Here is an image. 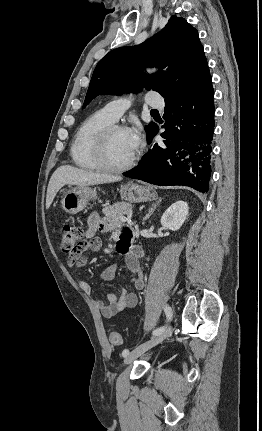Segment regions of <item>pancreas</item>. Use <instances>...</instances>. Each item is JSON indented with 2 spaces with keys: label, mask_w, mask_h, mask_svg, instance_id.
Segmentation results:
<instances>
[{
  "label": "pancreas",
  "mask_w": 262,
  "mask_h": 431,
  "mask_svg": "<svg viewBox=\"0 0 262 431\" xmlns=\"http://www.w3.org/2000/svg\"><path fill=\"white\" fill-rule=\"evenodd\" d=\"M132 206L126 202H116L113 205H109L103 208L102 212L106 218H110L115 221L119 226L123 225L121 217L124 215H129Z\"/></svg>",
  "instance_id": "pancreas-1"
}]
</instances>
